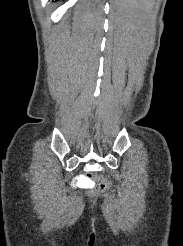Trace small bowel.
Returning a JSON list of instances; mask_svg holds the SVG:
<instances>
[{
    "instance_id": "obj_1",
    "label": "small bowel",
    "mask_w": 183,
    "mask_h": 246,
    "mask_svg": "<svg viewBox=\"0 0 183 246\" xmlns=\"http://www.w3.org/2000/svg\"><path fill=\"white\" fill-rule=\"evenodd\" d=\"M77 179H82V180H75V185H88V174H77ZM97 182H107L108 178L107 177H97L96 178Z\"/></svg>"
}]
</instances>
